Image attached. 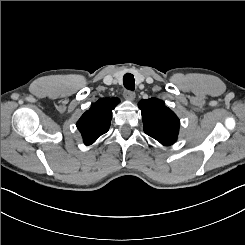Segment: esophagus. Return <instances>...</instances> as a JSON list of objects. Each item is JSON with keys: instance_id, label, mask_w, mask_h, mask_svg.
<instances>
[{"instance_id": "esophagus-1", "label": "esophagus", "mask_w": 245, "mask_h": 245, "mask_svg": "<svg viewBox=\"0 0 245 245\" xmlns=\"http://www.w3.org/2000/svg\"><path fill=\"white\" fill-rule=\"evenodd\" d=\"M124 97L126 99H130V100H134L135 99V93L134 91H131V90H124V93H123Z\"/></svg>"}]
</instances>
